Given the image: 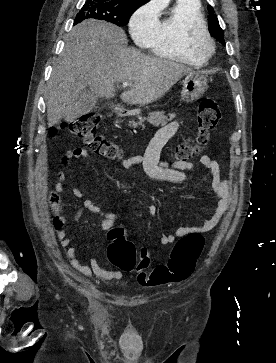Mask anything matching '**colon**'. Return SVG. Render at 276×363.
<instances>
[{
    "mask_svg": "<svg viewBox=\"0 0 276 363\" xmlns=\"http://www.w3.org/2000/svg\"><path fill=\"white\" fill-rule=\"evenodd\" d=\"M220 119V110L217 102L212 98L203 99L197 112V145L180 144L174 150V156L178 162H187L196 156L208 143L210 136ZM101 120L97 112H89L82 116L65 122L62 128L68 132L83 138L89 149L108 158L119 156L118 148L96 133V128ZM51 135L57 133V129L51 130ZM50 203L55 212L53 224L56 230L64 225L62 216V202L59 195L52 193ZM122 229L114 227L109 231L110 244L107 248L109 261L123 271L136 270L137 281L145 287L163 284L179 283L190 277L195 269L203 247L204 237L200 233H191L180 238L174 245L167 264L155 267L150 273L146 270L150 265V253L142 248L137 257L136 246L132 241L121 237Z\"/></svg>",
    "mask_w": 276,
    "mask_h": 363,
    "instance_id": "obj_1",
    "label": "colon"
}]
</instances>
